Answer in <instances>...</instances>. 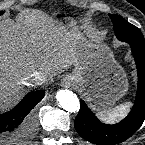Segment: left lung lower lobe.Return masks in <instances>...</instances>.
<instances>
[{"label": "left lung lower lobe", "mask_w": 145, "mask_h": 145, "mask_svg": "<svg viewBox=\"0 0 145 145\" xmlns=\"http://www.w3.org/2000/svg\"><path fill=\"white\" fill-rule=\"evenodd\" d=\"M131 51L138 73V87L134 106L121 122L108 125L100 122L88 106L81 101V109L75 119L77 132L87 141L98 145H112L133 135L145 119V46L131 44Z\"/></svg>", "instance_id": "0a47b994"}]
</instances>
